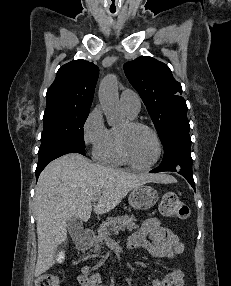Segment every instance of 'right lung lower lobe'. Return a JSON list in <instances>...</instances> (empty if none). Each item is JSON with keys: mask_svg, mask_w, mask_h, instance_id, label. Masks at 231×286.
Instances as JSON below:
<instances>
[{"mask_svg": "<svg viewBox=\"0 0 231 286\" xmlns=\"http://www.w3.org/2000/svg\"><path fill=\"white\" fill-rule=\"evenodd\" d=\"M72 152L85 155L84 148L74 145V144L57 145L39 154V161H38L37 168L35 171L36 178L38 179L39 174L49 162H51L52 160L64 154L72 153Z\"/></svg>", "mask_w": 231, "mask_h": 286, "instance_id": "right-lung-lower-lobe-1", "label": "right lung lower lobe"}]
</instances>
